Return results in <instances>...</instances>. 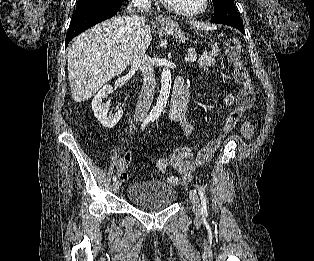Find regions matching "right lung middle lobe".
<instances>
[{"instance_id": "right-lung-middle-lobe-1", "label": "right lung middle lobe", "mask_w": 314, "mask_h": 261, "mask_svg": "<svg viewBox=\"0 0 314 261\" xmlns=\"http://www.w3.org/2000/svg\"><path fill=\"white\" fill-rule=\"evenodd\" d=\"M105 0H78L76 10L82 9L89 5L95 4L97 2H101Z\"/></svg>"}]
</instances>
